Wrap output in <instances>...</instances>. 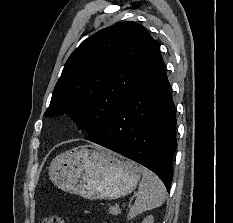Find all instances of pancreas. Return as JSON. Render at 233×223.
<instances>
[{
	"label": "pancreas",
	"mask_w": 233,
	"mask_h": 223,
	"mask_svg": "<svg viewBox=\"0 0 233 223\" xmlns=\"http://www.w3.org/2000/svg\"><path fill=\"white\" fill-rule=\"evenodd\" d=\"M111 211H109V213H115L116 209H118V207H116V205H111L110 207Z\"/></svg>",
	"instance_id": "1"
}]
</instances>
